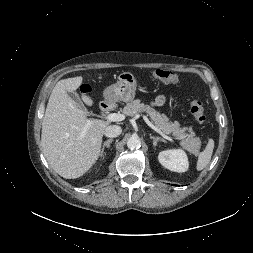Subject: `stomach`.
Masks as SVG:
<instances>
[{
    "label": "stomach",
    "instance_id": "1",
    "mask_svg": "<svg viewBox=\"0 0 253 253\" xmlns=\"http://www.w3.org/2000/svg\"><path fill=\"white\" fill-rule=\"evenodd\" d=\"M137 82L130 72L119 75L117 83L104 90V97L108 100L131 102L135 97Z\"/></svg>",
    "mask_w": 253,
    "mask_h": 253
}]
</instances>
